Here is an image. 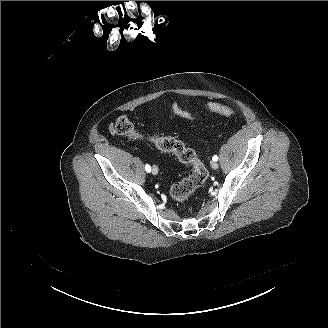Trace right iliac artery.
I'll return each instance as SVG.
<instances>
[{
    "label": "right iliac artery",
    "mask_w": 328,
    "mask_h": 328,
    "mask_svg": "<svg viewBox=\"0 0 328 328\" xmlns=\"http://www.w3.org/2000/svg\"><path fill=\"white\" fill-rule=\"evenodd\" d=\"M145 170H146L147 172H150V171H151V167H150V165L146 164V165H145Z\"/></svg>",
    "instance_id": "right-iliac-artery-1"
}]
</instances>
